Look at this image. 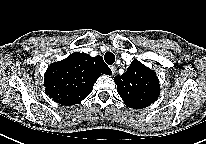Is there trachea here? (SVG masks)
Masks as SVG:
<instances>
[{
	"mask_svg": "<svg viewBox=\"0 0 206 144\" xmlns=\"http://www.w3.org/2000/svg\"><path fill=\"white\" fill-rule=\"evenodd\" d=\"M104 60L107 64L111 65L115 62V55L112 52H107L104 55Z\"/></svg>",
	"mask_w": 206,
	"mask_h": 144,
	"instance_id": "obj_1",
	"label": "trachea"
}]
</instances>
